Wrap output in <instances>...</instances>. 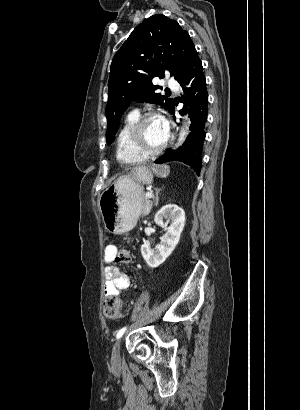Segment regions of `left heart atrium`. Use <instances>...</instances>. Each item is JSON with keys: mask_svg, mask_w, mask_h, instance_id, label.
<instances>
[{"mask_svg": "<svg viewBox=\"0 0 300 410\" xmlns=\"http://www.w3.org/2000/svg\"><path fill=\"white\" fill-rule=\"evenodd\" d=\"M158 119L160 120L163 130L168 134V131H169L168 122L164 118H158Z\"/></svg>", "mask_w": 300, "mask_h": 410, "instance_id": "39dd6f15", "label": "left heart atrium"}]
</instances>
